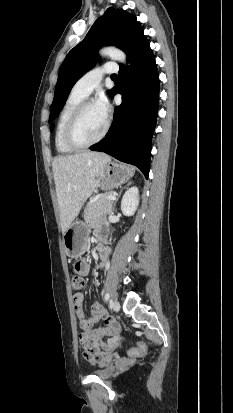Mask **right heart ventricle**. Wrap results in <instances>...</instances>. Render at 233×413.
Masks as SVG:
<instances>
[{
	"label": "right heart ventricle",
	"mask_w": 233,
	"mask_h": 413,
	"mask_svg": "<svg viewBox=\"0 0 233 413\" xmlns=\"http://www.w3.org/2000/svg\"><path fill=\"white\" fill-rule=\"evenodd\" d=\"M85 98H86L85 96H82L72 90L62 106V109L60 111V114L58 116V120L56 123V129H55V146H56L57 151L60 153L67 154V153H71L74 151V149L70 148L64 142L63 131H64L65 124L68 118L70 117V115L72 114V112L74 111V109Z\"/></svg>",
	"instance_id": "1"
}]
</instances>
